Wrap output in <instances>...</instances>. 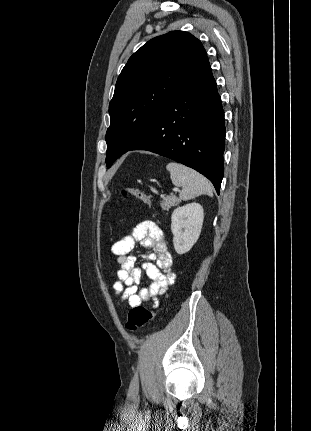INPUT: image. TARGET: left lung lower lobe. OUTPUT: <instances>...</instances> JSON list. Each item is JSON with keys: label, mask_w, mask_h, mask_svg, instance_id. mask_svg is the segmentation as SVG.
Segmentation results:
<instances>
[{"label": "left lung lower lobe", "mask_w": 311, "mask_h": 431, "mask_svg": "<svg viewBox=\"0 0 311 431\" xmlns=\"http://www.w3.org/2000/svg\"><path fill=\"white\" fill-rule=\"evenodd\" d=\"M224 111L206 57L131 150H147L207 177L219 194L225 148Z\"/></svg>", "instance_id": "left-lung-lower-lobe-1"}]
</instances>
